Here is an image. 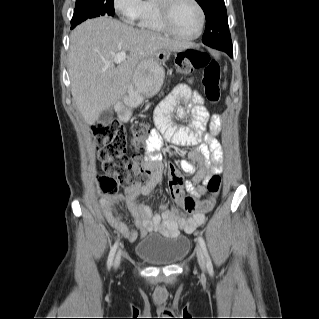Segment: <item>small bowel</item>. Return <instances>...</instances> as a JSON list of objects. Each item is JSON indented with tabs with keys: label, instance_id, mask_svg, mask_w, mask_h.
I'll use <instances>...</instances> for the list:
<instances>
[{
	"label": "small bowel",
	"instance_id": "small-bowel-1",
	"mask_svg": "<svg viewBox=\"0 0 319 319\" xmlns=\"http://www.w3.org/2000/svg\"><path fill=\"white\" fill-rule=\"evenodd\" d=\"M181 101L184 105L177 106ZM176 111L177 117L185 119L191 115L188 127L177 128L172 125L170 115ZM210 120L209 129L207 122ZM156 130H153L149 137V144L146 146L149 175L141 183L137 182L127 187L123 193L107 196L101 201L103 214L108 223L120 232L127 240L134 241L137 238L136 230L131 227L123 218L110 210V205L115 201L124 202L127 210L133 217L136 226L140 229L141 235L151 231H159L163 235L172 236L184 232H192L199 228L205 221V214L201 211L185 212L177 204H161L158 211H154L139 196L149 195L158 184L163 173V163L157 154L162 148V138L167 142L181 145H195L196 149L190 153L192 161L200 165V169L195 172L192 162L182 160L179 168L189 175H194L193 184L187 185V190L196 196L206 193L208 180L222 173L223 153L219 141L215 135L220 131L222 119L219 114H210L204 106V98L197 90H192L187 84L177 85L173 91L160 102L157 107ZM159 144V149H154L151 144ZM210 167V171L207 169ZM170 173L177 171L174 164H169Z\"/></svg>",
	"mask_w": 319,
	"mask_h": 319
}]
</instances>
